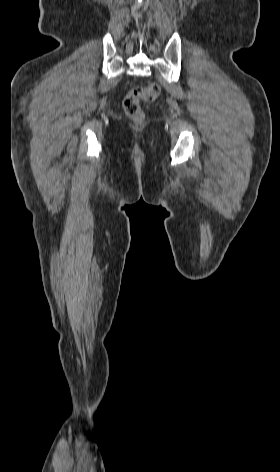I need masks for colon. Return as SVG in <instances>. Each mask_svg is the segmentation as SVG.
I'll return each mask as SVG.
<instances>
[{"instance_id":"1","label":"colon","mask_w":280,"mask_h":472,"mask_svg":"<svg viewBox=\"0 0 280 472\" xmlns=\"http://www.w3.org/2000/svg\"><path fill=\"white\" fill-rule=\"evenodd\" d=\"M161 92L157 83H150L146 86H137L132 88L123 100V108L126 114L134 121L141 122L144 113L141 108V101H154Z\"/></svg>"}]
</instances>
